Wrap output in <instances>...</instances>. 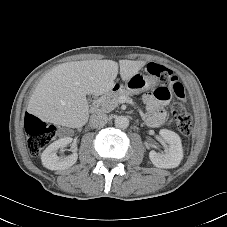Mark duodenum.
<instances>
[{
	"instance_id": "410a0bca",
	"label": "duodenum",
	"mask_w": 227,
	"mask_h": 227,
	"mask_svg": "<svg viewBox=\"0 0 227 227\" xmlns=\"http://www.w3.org/2000/svg\"><path fill=\"white\" fill-rule=\"evenodd\" d=\"M119 89V87L117 86V85H115L114 87H113V91H117Z\"/></svg>"
}]
</instances>
